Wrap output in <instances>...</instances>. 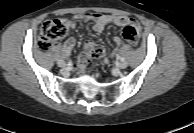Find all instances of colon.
<instances>
[{"label": "colon", "instance_id": "colon-1", "mask_svg": "<svg viewBox=\"0 0 194 133\" xmlns=\"http://www.w3.org/2000/svg\"><path fill=\"white\" fill-rule=\"evenodd\" d=\"M70 24L67 19L58 18L45 21L40 29V37L38 40V47L42 51H46L50 48L53 42L64 37ZM123 37L133 47H137L139 44V35L135 28L127 26L123 29ZM104 54V49L98 44H93L87 53H83L78 57L76 69L79 74L85 72L86 66L90 57L99 58Z\"/></svg>", "mask_w": 194, "mask_h": 133}]
</instances>
